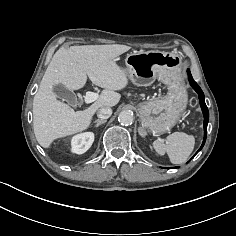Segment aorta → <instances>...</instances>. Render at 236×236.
<instances>
[{"label":"aorta","instance_id":"1","mask_svg":"<svg viewBox=\"0 0 236 236\" xmlns=\"http://www.w3.org/2000/svg\"><path fill=\"white\" fill-rule=\"evenodd\" d=\"M118 121L122 124V125H131L134 121V115L133 112L130 110H123L119 113L118 116Z\"/></svg>","mask_w":236,"mask_h":236}]
</instances>
